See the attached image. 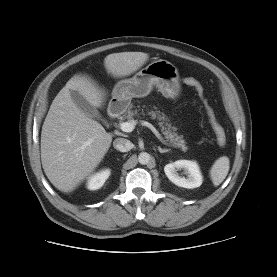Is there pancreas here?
<instances>
[{"label": "pancreas", "mask_w": 277, "mask_h": 277, "mask_svg": "<svg viewBox=\"0 0 277 277\" xmlns=\"http://www.w3.org/2000/svg\"><path fill=\"white\" fill-rule=\"evenodd\" d=\"M133 106L131 105L130 108L127 110V112L123 115V119H127L129 121L134 120V116L137 115V109L132 110ZM145 115V113H142ZM151 116L152 119H158L159 120V126L161 127V131L167 141L169 143L176 147L181 148L183 151H186L188 148L186 146V142L183 139L182 135H178L175 131L176 128L172 127L171 124L168 123V118L164 113H161L160 111H149L147 113Z\"/></svg>", "instance_id": "obj_1"}]
</instances>
